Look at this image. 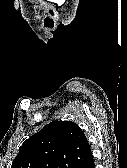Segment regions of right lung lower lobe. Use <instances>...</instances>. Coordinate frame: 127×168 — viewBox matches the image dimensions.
Wrapping results in <instances>:
<instances>
[{"instance_id":"right-lung-lower-lobe-1","label":"right lung lower lobe","mask_w":127,"mask_h":168,"mask_svg":"<svg viewBox=\"0 0 127 168\" xmlns=\"http://www.w3.org/2000/svg\"><path fill=\"white\" fill-rule=\"evenodd\" d=\"M75 168H95L93 157L78 164Z\"/></svg>"}]
</instances>
